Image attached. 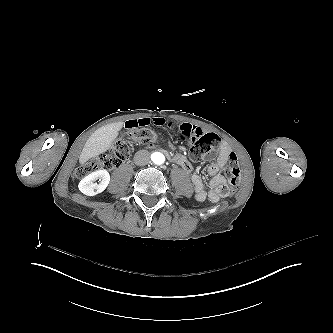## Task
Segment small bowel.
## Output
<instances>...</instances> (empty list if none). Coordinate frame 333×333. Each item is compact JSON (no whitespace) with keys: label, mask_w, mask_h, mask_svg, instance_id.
Segmentation results:
<instances>
[{"label":"small bowel","mask_w":333,"mask_h":333,"mask_svg":"<svg viewBox=\"0 0 333 333\" xmlns=\"http://www.w3.org/2000/svg\"><path fill=\"white\" fill-rule=\"evenodd\" d=\"M127 126L135 129L137 126H164L169 127L178 126L180 129L189 131L190 133H202L200 129L193 127L188 123L168 121L163 117H142L138 119H127L125 121ZM151 145V146H150ZM162 143L151 142V144H145V149H150V147H156L158 149L162 148ZM230 150L225 142H222L217 150L216 161L207 166V173L210 176L208 183V188L205 187L202 178L199 174L195 173L192 175V183L194 186L195 199L199 202H203L208 199L212 203L219 202L222 198L229 194V188L227 186V181L222 175V171L225 169L227 162L230 161ZM173 163L181 166L186 172H190L192 167L187 157L181 153H173L170 156Z\"/></svg>","instance_id":"small-bowel-1"}]
</instances>
